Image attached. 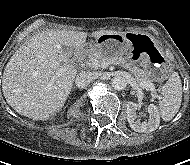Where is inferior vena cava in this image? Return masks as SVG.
<instances>
[{
	"label": "inferior vena cava",
	"mask_w": 190,
	"mask_h": 165,
	"mask_svg": "<svg viewBox=\"0 0 190 165\" xmlns=\"http://www.w3.org/2000/svg\"><path fill=\"white\" fill-rule=\"evenodd\" d=\"M98 77H99L98 72L82 71L79 73V75H77L75 79V84L78 88L84 89L94 80H96Z\"/></svg>",
	"instance_id": "inferior-vena-cava-1"
}]
</instances>
